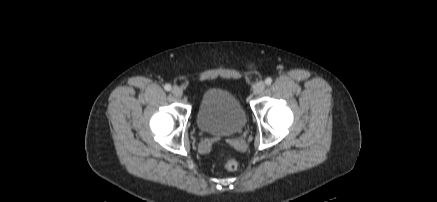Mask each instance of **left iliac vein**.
Returning <instances> with one entry per match:
<instances>
[{
  "instance_id": "obj_1",
  "label": "left iliac vein",
  "mask_w": 437,
  "mask_h": 202,
  "mask_svg": "<svg viewBox=\"0 0 437 202\" xmlns=\"http://www.w3.org/2000/svg\"><path fill=\"white\" fill-rule=\"evenodd\" d=\"M264 89H265V83L263 81H260L255 84L253 92L255 95H259L264 91Z\"/></svg>"
}]
</instances>
